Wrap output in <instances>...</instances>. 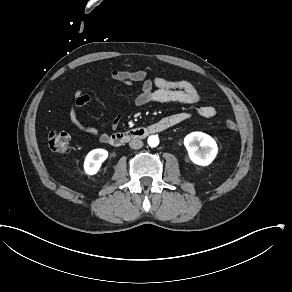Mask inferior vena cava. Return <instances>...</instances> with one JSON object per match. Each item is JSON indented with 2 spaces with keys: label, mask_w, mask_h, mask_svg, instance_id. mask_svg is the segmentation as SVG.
Returning a JSON list of instances; mask_svg holds the SVG:
<instances>
[{
  "label": "inferior vena cava",
  "mask_w": 292,
  "mask_h": 292,
  "mask_svg": "<svg viewBox=\"0 0 292 292\" xmlns=\"http://www.w3.org/2000/svg\"><path fill=\"white\" fill-rule=\"evenodd\" d=\"M129 146L132 149H140L143 147V142L140 139H133L129 142Z\"/></svg>",
  "instance_id": "1"
}]
</instances>
